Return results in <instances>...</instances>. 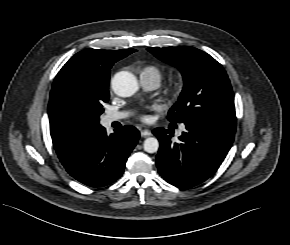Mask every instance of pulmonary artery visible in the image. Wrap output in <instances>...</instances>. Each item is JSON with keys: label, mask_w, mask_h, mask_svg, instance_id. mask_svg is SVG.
<instances>
[{"label": "pulmonary artery", "mask_w": 290, "mask_h": 245, "mask_svg": "<svg viewBox=\"0 0 290 245\" xmlns=\"http://www.w3.org/2000/svg\"><path fill=\"white\" fill-rule=\"evenodd\" d=\"M141 85L147 90H154L160 85V76L156 73L144 74L140 76ZM128 116L127 112H110L104 115L103 121L105 124H111L115 121H120ZM184 127L181 128L183 130Z\"/></svg>", "instance_id": "e3ab8cb5"}]
</instances>
